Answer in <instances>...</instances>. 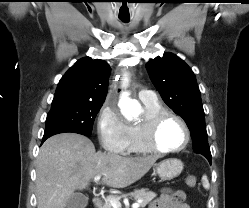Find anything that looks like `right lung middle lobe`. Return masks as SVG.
Masks as SVG:
<instances>
[{
	"label": "right lung middle lobe",
	"instance_id": "1",
	"mask_svg": "<svg viewBox=\"0 0 249 208\" xmlns=\"http://www.w3.org/2000/svg\"><path fill=\"white\" fill-rule=\"evenodd\" d=\"M102 104L72 102L52 106L47 115L45 132H74L90 136L94 119Z\"/></svg>",
	"mask_w": 249,
	"mask_h": 208
}]
</instances>
